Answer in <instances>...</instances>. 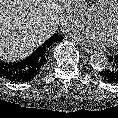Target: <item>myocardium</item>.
Returning <instances> with one entry per match:
<instances>
[{
    "instance_id": "f54148a6",
    "label": "myocardium",
    "mask_w": 118,
    "mask_h": 118,
    "mask_svg": "<svg viewBox=\"0 0 118 118\" xmlns=\"http://www.w3.org/2000/svg\"><path fill=\"white\" fill-rule=\"evenodd\" d=\"M116 3H118V0H111L103 9H101V10L99 11L98 14L106 15V14L111 13V11H112V9L115 7V4H116ZM112 47L118 49V43H117V44L113 43V44H112Z\"/></svg>"
}]
</instances>
